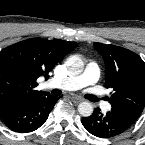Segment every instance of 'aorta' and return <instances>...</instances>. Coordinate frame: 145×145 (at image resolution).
I'll return each instance as SVG.
<instances>
[{"instance_id": "762f6f07", "label": "aorta", "mask_w": 145, "mask_h": 145, "mask_svg": "<svg viewBox=\"0 0 145 145\" xmlns=\"http://www.w3.org/2000/svg\"><path fill=\"white\" fill-rule=\"evenodd\" d=\"M66 65L72 75H79L83 72L84 62L77 55L70 56L66 61ZM78 112L83 117H89L93 113V106L89 102H81L78 105Z\"/></svg>"}]
</instances>
